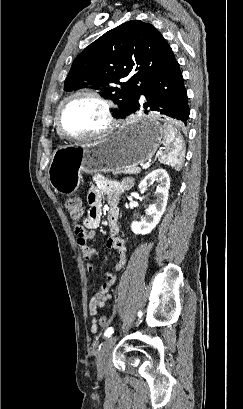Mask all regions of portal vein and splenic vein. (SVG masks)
I'll list each match as a JSON object with an SVG mask.
<instances>
[{
  "instance_id": "portal-vein-and-splenic-vein-1",
  "label": "portal vein and splenic vein",
  "mask_w": 243,
  "mask_h": 409,
  "mask_svg": "<svg viewBox=\"0 0 243 409\" xmlns=\"http://www.w3.org/2000/svg\"><path fill=\"white\" fill-rule=\"evenodd\" d=\"M148 167H149V163H145V164L142 165L143 169H147Z\"/></svg>"
}]
</instances>
